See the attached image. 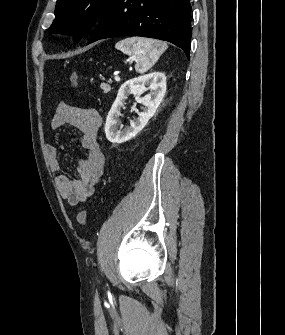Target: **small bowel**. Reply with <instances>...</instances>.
Instances as JSON below:
<instances>
[{"mask_svg":"<svg viewBox=\"0 0 285 335\" xmlns=\"http://www.w3.org/2000/svg\"><path fill=\"white\" fill-rule=\"evenodd\" d=\"M102 118L98 111L91 107H80L60 102L51 120L53 130L68 125L75 129L81 138V144L86 152L84 157L76 161V177L63 172L60 162L62 147L47 146L49 166L58 173L55 178L60 195L70 205H77L87 200L104 173L106 159L98 142V131Z\"/></svg>","mask_w":285,"mask_h":335,"instance_id":"obj_1","label":"small bowel"}]
</instances>
